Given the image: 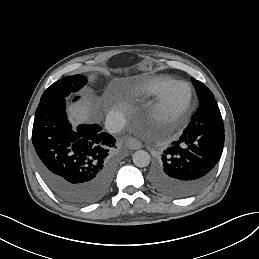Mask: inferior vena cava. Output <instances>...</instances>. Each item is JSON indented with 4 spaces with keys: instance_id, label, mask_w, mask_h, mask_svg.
Instances as JSON below:
<instances>
[{
    "instance_id": "inferior-vena-cava-1",
    "label": "inferior vena cava",
    "mask_w": 259,
    "mask_h": 259,
    "mask_svg": "<svg viewBox=\"0 0 259 259\" xmlns=\"http://www.w3.org/2000/svg\"><path fill=\"white\" fill-rule=\"evenodd\" d=\"M126 125L125 118L118 112H110L106 118V129L110 133L120 132Z\"/></svg>"
}]
</instances>
